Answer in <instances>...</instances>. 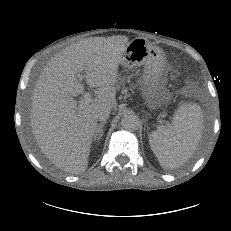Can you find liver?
<instances>
[{
    "label": "liver",
    "instance_id": "obj_1",
    "mask_svg": "<svg viewBox=\"0 0 231 231\" xmlns=\"http://www.w3.org/2000/svg\"><path fill=\"white\" fill-rule=\"evenodd\" d=\"M128 40L117 35L78 41L53 57L39 76L31 97V128L40 150L58 168L73 174L86 170L98 129L96 112L117 107L115 85ZM80 72L98 88L83 108L73 98L84 91Z\"/></svg>",
    "mask_w": 231,
    "mask_h": 231
}]
</instances>
